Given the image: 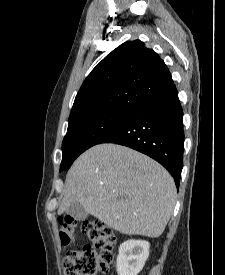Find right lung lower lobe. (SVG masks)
Segmentation results:
<instances>
[{
  "instance_id": "1",
  "label": "right lung lower lobe",
  "mask_w": 225,
  "mask_h": 275,
  "mask_svg": "<svg viewBox=\"0 0 225 275\" xmlns=\"http://www.w3.org/2000/svg\"><path fill=\"white\" fill-rule=\"evenodd\" d=\"M115 143L144 153L172 175L179 187L183 167V112L177 89L134 110L98 144Z\"/></svg>"
}]
</instances>
